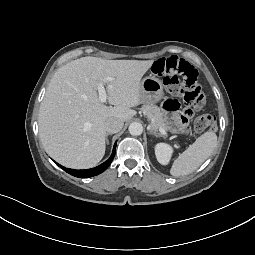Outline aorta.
Masks as SVG:
<instances>
[{
  "label": "aorta",
  "mask_w": 255,
  "mask_h": 255,
  "mask_svg": "<svg viewBox=\"0 0 255 255\" xmlns=\"http://www.w3.org/2000/svg\"><path fill=\"white\" fill-rule=\"evenodd\" d=\"M128 130L131 135L138 136L142 134L143 126L138 122H133L129 125Z\"/></svg>",
  "instance_id": "obj_1"
}]
</instances>
